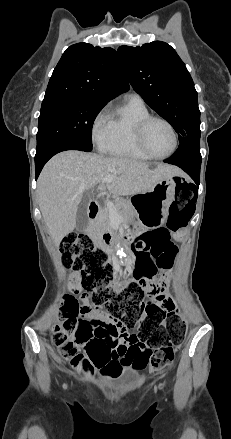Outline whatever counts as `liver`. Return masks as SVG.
<instances>
[{"label": "liver", "mask_w": 231, "mask_h": 439, "mask_svg": "<svg viewBox=\"0 0 231 439\" xmlns=\"http://www.w3.org/2000/svg\"><path fill=\"white\" fill-rule=\"evenodd\" d=\"M182 172L171 165L139 162L123 157H102L80 151L57 154L44 166L37 194L43 220L54 243L76 227L78 205L83 192L100 184L105 177L113 180L98 186L113 196L134 195L150 190L159 181Z\"/></svg>", "instance_id": "1"}]
</instances>
